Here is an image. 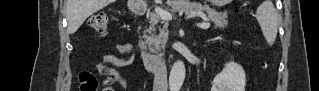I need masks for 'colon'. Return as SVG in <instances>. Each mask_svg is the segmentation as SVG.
<instances>
[{"label":"colon","instance_id":"obj_1","mask_svg":"<svg viewBox=\"0 0 319 91\" xmlns=\"http://www.w3.org/2000/svg\"><path fill=\"white\" fill-rule=\"evenodd\" d=\"M110 23V16L105 12H98L92 15L88 20V26L97 35H105L108 31ZM111 81L107 80L106 84ZM98 82L96 78L90 74H82L80 76V90L81 91H96Z\"/></svg>","mask_w":319,"mask_h":91}]
</instances>
